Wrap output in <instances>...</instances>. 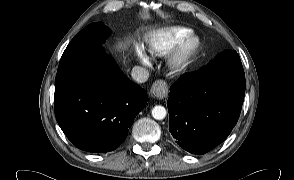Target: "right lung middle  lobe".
<instances>
[{"label":"right lung middle lobe","mask_w":294,"mask_h":180,"mask_svg":"<svg viewBox=\"0 0 294 180\" xmlns=\"http://www.w3.org/2000/svg\"><path fill=\"white\" fill-rule=\"evenodd\" d=\"M110 29L103 23L97 22L81 30L69 43L62 56H66L86 48L101 46L109 36Z\"/></svg>","instance_id":"dd1d6c3e"}]
</instances>
